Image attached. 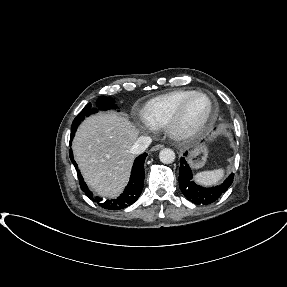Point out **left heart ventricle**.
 <instances>
[{
  "label": "left heart ventricle",
  "mask_w": 287,
  "mask_h": 287,
  "mask_svg": "<svg viewBox=\"0 0 287 287\" xmlns=\"http://www.w3.org/2000/svg\"><path fill=\"white\" fill-rule=\"evenodd\" d=\"M209 109V102L205 98L197 97L194 98L185 114V123L186 125H195L198 122H200L204 116L206 115L207 111Z\"/></svg>",
  "instance_id": "1"
}]
</instances>
